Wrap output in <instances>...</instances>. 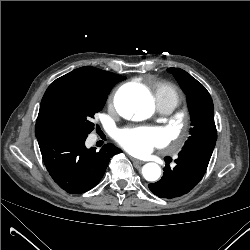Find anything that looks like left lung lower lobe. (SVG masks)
Here are the masks:
<instances>
[{
  "instance_id": "left-lung-lower-lobe-1",
  "label": "left lung lower lobe",
  "mask_w": 250,
  "mask_h": 250,
  "mask_svg": "<svg viewBox=\"0 0 250 250\" xmlns=\"http://www.w3.org/2000/svg\"><path fill=\"white\" fill-rule=\"evenodd\" d=\"M215 144L216 141H207L184 147L175 160V168L166 164L162 178L149 184V189L158 197L168 199L189 192L205 174Z\"/></svg>"
}]
</instances>
